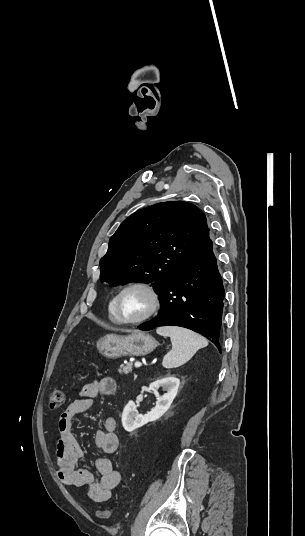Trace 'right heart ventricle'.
<instances>
[{"label": "right heart ventricle", "mask_w": 305, "mask_h": 536, "mask_svg": "<svg viewBox=\"0 0 305 536\" xmlns=\"http://www.w3.org/2000/svg\"><path fill=\"white\" fill-rule=\"evenodd\" d=\"M113 301H114V297L110 300L109 304H108V309H107V312H108V319L109 321L112 323V324H118L117 323V320L114 316V311H113Z\"/></svg>", "instance_id": "e07e8e85"}]
</instances>
